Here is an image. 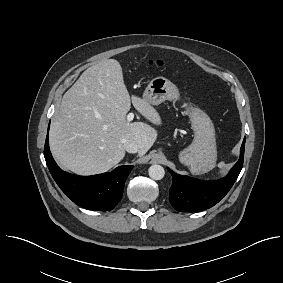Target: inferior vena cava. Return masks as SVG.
<instances>
[{
	"instance_id": "inferior-vena-cava-1",
	"label": "inferior vena cava",
	"mask_w": 283,
	"mask_h": 283,
	"mask_svg": "<svg viewBox=\"0 0 283 283\" xmlns=\"http://www.w3.org/2000/svg\"><path fill=\"white\" fill-rule=\"evenodd\" d=\"M123 147L129 153H137L139 151L138 144L130 139H125L123 141Z\"/></svg>"
}]
</instances>
